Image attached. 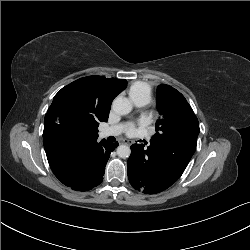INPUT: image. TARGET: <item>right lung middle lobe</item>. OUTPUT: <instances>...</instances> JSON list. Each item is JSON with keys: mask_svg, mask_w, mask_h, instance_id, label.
Segmentation results:
<instances>
[{"mask_svg": "<svg viewBox=\"0 0 250 250\" xmlns=\"http://www.w3.org/2000/svg\"><path fill=\"white\" fill-rule=\"evenodd\" d=\"M56 116L63 129L70 133L81 134L89 129L98 132V124L82 108L77 88H69L61 93L56 105Z\"/></svg>", "mask_w": 250, "mask_h": 250, "instance_id": "obj_1", "label": "right lung middle lobe"}]
</instances>
